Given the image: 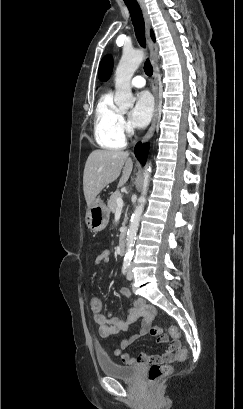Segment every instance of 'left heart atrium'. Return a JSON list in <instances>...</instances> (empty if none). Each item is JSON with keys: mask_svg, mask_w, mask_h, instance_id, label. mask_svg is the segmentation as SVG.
<instances>
[{"mask_svg": "<svg viewBox=\"0 0 243 409\" xmlns=\"http://www.w3.org/2000/svg\"><path fill=\"white\" fill-rule=\"evenodd\" d=\"M153 111L154 104L150 93L147 91L139 92L135 105L129 114L131 124L138 128L145 127L151 120Z\"/></svg>", "mask_w": 243, "mask_h": 409, "instance_id": "left-heart-atrium-1", "label": "left heart atrium"}]
</instances>
